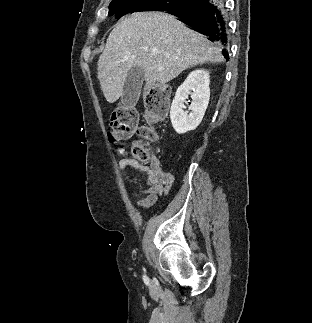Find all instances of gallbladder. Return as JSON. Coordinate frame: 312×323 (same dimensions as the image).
Returning a JSON list of instances; mask_svg holds the SVG:
<instances>
[{
  "mask_svg": "<svg viewBox=\"0 0 312 323\" xmlns=\"http://www.w3.org/2000/svg\"><path fill=\"white\" fill-rule=\"evenodd\" d=\"M144 80V72L139 66L131 68L127 72V78L123 86L121 102L124 106H135L141 94V88Z\"/></svg>",
  "mask_w": 312,
  "mask_h": 323,
  "instance_id": "obj_1",
  "label": "gallbladder"
}]
</instances>
